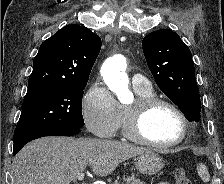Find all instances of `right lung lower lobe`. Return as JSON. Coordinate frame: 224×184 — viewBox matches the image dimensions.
<instances>
[{
    "label": "right lung lower lobe",
    "mask_w": 224,
    "mask_h": 184,
    "mask_svg": "<svg viewBox=\"0 0 224 184\" xmlns=\"http://www.w3.org/2000/svg\"><path fill=\"white\" fill-rule=\"evenodd\" d=\"M80 129H70V128H47L32 131L24 134L13 145V155H16L19 150L28 142L44 137V136H73L80 133Z\"/></svg>",
    "instance_id": "right-lung-lower-lobe-1"
}]
</instances>
